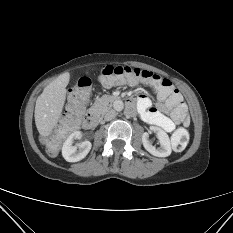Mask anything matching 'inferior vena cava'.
<instances>
[{
	"label": "inferior vena cava",
	"instance_id": "obj_1",
	"mask_svg": "<svg viewBox=\"0 0 233 233\" xmlns=\"http://www.w3.org/2000/svg\"><path fill=\"white\" fill-rule=\"evenodd\" d=\"M115 117H116V111L113 109L106 111V113L104 114L105 121H110V120L114 119Z\"/></svg>",
	"mask_w": 233,
	"mask_h": 233
}]
</instances>
